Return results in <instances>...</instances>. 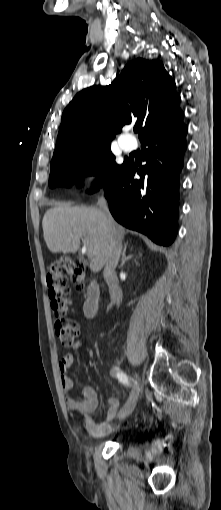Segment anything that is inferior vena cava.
I'll return each mask as SVG.
<instances>
[{
    "label": "inferior vena cava",
    "instance_id": "inferior-vena-cava-1",
    "mask_svg": "<svg viewBox=\"0 0 221 510\" xmlns=\"http://www.w3.org/2000/svg\"><path fill=\"white\" fill-rule=\"evenodd\" d=\"M98 205L105 215L106 225L109 230L108 246L105 254V267L103 273L104 279L109 285L112 299H114L117 305H119L122 300V290L118 285L115 269L122 251V241L114 227V220L109 212L107 201L103 196L98 199Z\"/></svg>",
    "mask_w": 221,
    "mask_h": 510
}]
</instances>
